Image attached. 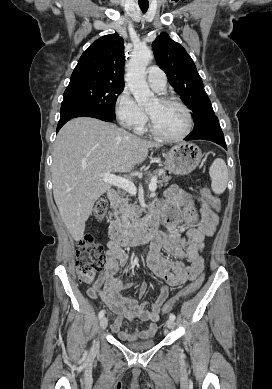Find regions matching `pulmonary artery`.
Returning a JSON list of instances; mask_svg holds the SVG:
<instances>
[{
  "label": "pulmonary artery",
  "instance_id": "e3ab8cb5",
  "mask_svg": "<svg viewBox=\"0 0 272 389\" xmlns=\"http://www.w3.org/2000/svg\"><path fill=\"white\" fill-rule=\"evenodd\" d=\"M147 81L151 88L158 93H162L166 90V74L157 66H150L148 68Z\"/></svg>",
  "mask_w": 272,
  "mask_h": 389
}]
</instances>
